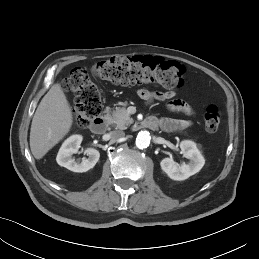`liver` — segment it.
Listing matches in <instances>:
<instances>
[{"label": "liver", "instance_id": "1", "mask_svg": "<svg viewBox=\"0 0 259 259\" xmlns=\"http://www.w3.org/2000/svg\"><path fill=\"white\" fill-rule=\"evenodd\" d=\"M73 115L70 104L59 83L54 84L42 98L32 119L30 148L41 159L70 131Z\"/></svg>", "mask_w": 259, "mask_h": 259}]
</instances>
